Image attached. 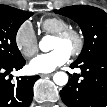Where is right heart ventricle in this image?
Wrapping results in <instances>:
<instances>
[{"label":"right heart ventricle","mask_w":107,"mask_h":107,"mask_svg":"<svg viewBox=\"0 0 107 107\" xmlns=\"http://www.w3.org/2000/svg\"><path fill=\"white\" fill-rule=\"evenodd\" d=\"M69 27H71L69 21L62 17H49L40 21V28L47 35H55Z\"/></svg>","instance_id":"e07e8e85"}]
</instances>
